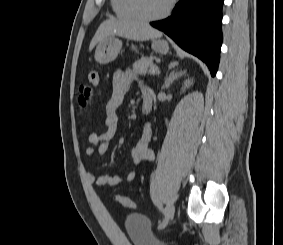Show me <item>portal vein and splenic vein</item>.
<instances>
[{
    "label": "portal vein and splenic vein",
    "mask_w": 283,
    "mask_h": 245,
    "mask_svg": "<svg viewBox=\"0 0 283 245\" xmlns=\"http://www.w3.org/2000/svg\"><path fill=\"white\" fill-rule=\"evenodd\" d=\"M150 73H151V74H159L160 71H159L158 67H155V68H153V69L150 71Z\"/></svg>",
    "instance_id": "portal-vein-and-splenic-vein-1"
}]
</instances>
